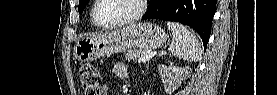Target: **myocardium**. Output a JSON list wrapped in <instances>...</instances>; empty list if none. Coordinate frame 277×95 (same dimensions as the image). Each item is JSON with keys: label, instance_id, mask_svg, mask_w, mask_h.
Returning <instances> with one entry per match:
<instances>
[{"label": "myocardium", "instance_id": "myocardium-1", "mask_svg": "<svg viewBox=\"0 0 277 95\" xmlns=\"http://www.w3.org/2000/svg\"><path fill=\"white\" fill-rule=\"evenodd\" d=\"M135 1L138 4V9L134 15H132L128 18H124V19H120V20L111 22V23H102L99 20H97L96 13H95L96 8L100 4L101 0H96L91 8V18H92L93 22L101 28H114V27L133 23V22L137 21L138 19H140L146 11V0H135Z\"/></svg>", "mask_w": 277, "mask_h": 95}]
</instances>
